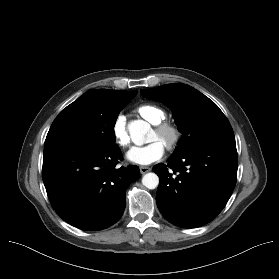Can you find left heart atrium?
<instances>
[{"mask_svg":"<svg viewBox=\"0 0 279 279\" xmlns=\"http://www.w3.org/2000/svg\"><path fill=\"white\" fill-rule=\"evenodd\" d=\"M165 153V146L159 140H153L145 146L133 147L127 153V158L140 165H148L160 160Z\"/></svg>","mask_w":279,"mask_h":279,"instance_id":"obj_1","label":"left heart atrium"}]
</instances>
